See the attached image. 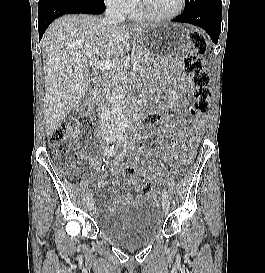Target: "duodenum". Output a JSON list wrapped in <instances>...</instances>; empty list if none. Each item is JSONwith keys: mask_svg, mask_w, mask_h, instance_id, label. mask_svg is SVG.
I'll list each match as a JSON object with an SVG mask.
<instances>
[{"mask_svg": "<svg viewBox=\"0 0 265 273\" xmlns=\"http://www.w3.org/2000/svg\"><path fill=\"white\" fill-rule=\"evenodd\" d=\"M96 100H97V97H94V98H93V101H96ZM134 116H135V118H138V117H139L138 112H136V113L134 114Z\"/></svg>", "mask_w": 265, "mask_h": 273, "instance_id": "1", "label": "duodenum"}]
</instances>
